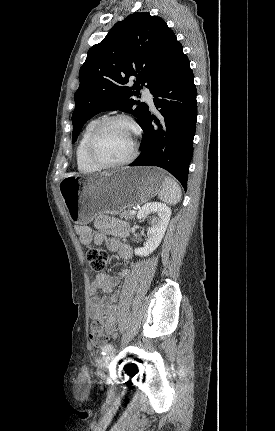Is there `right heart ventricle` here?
I'll use <instances>...</instances> for the list:
<instances>
[{"label": "right heart ventricle", "mask_w": 275, "mask_h": 431, "mask_svg": "<svg viewBox=\"0 0 275 431\" xmlns=\"http://www.w3.org/2000/svg\"><path fill=\"white\" fill-rule=\"evenodd\" d=\"M101 119L100 118H94L90 120L85 127L83 128L77 148H76V161H77V167L81 172L84 173H92L98 170L95 166H93L87 159L86 156V143L87 139L94 129V127L99 123Z\"/></svg>", "instance_id": "e07e8e85"}]
</instances>
